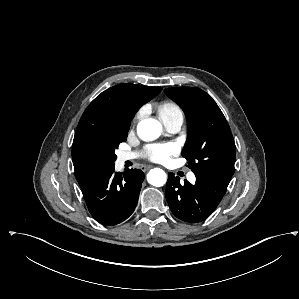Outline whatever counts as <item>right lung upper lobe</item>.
Listing matches in <instances>:
<instances>
[{"instance_id":"1","label":"right lung upper lobe","mask_w":299,"mask_h":299,"mask_svg":"<svg viewBox=\"0 0 299 299\" xmlns=\"http://www.w3.org/2000/svg\"><path fill=\"white\" fill-rule=\"evenodd\" d=\"M161 90V87L120 84L102 92L90 103L79 121L72 146L73 165L80 186L89 181L80 151L83 143L99 136L109 127H130L136 111Z\"/></svg>"}]
</instances>
